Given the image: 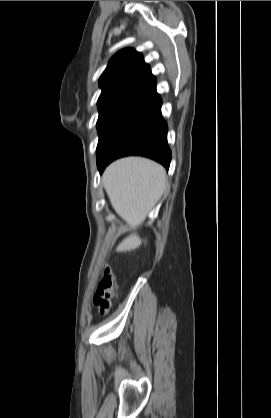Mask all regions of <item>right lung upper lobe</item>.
I'll list each match as a JSON object with an SVG mask.
<instances>
[{
	"label": "right lung upper lobe",
	"instance_id": "1",
	"mask_svg": "<svg viewBox=\"0 0 271 418\" xmlns=\"http://www.w3.org/2000/svg\"><path fill=\"white\" fill-rule=\"evenodd\" d=\"M99 85L102 92L98 104L118 99H133L154 106L162 102L150 67L141 53L133 49H124L111 58Z\"/></svg>",
	"mask_w": 271,
	"mask_h": 418
}]
</instances>
